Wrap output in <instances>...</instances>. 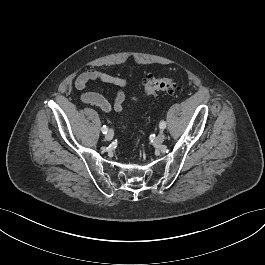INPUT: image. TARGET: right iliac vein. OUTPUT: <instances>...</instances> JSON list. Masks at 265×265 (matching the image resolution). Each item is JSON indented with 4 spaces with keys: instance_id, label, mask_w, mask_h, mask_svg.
Returning <instances> with one entry per match:
<instances>
[{
    "instance_id": "right-iliac-vein-1",
    "label": "right iliac vein",
    "mask_w": 265,
    "mask_h": 265,
    "mask_svg": "<svg viewBox=\"0 0 265 265\" xmlns=\"http://www.w3.org/2000/svg\"><path fill=\"white\" fill-rule=\"evenodd\" d=\"M114 133L112 130H109L105 136L106 140L110 141L113 139Z\"/></svg>"
}]
</instances>
